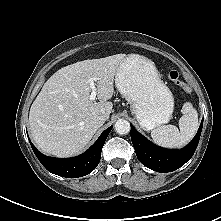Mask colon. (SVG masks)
Wrapping results in <instances>:
<instances>
[{
  "label": "colon",
  "instance_id": "1",
  "mask_svg": "<svg viewBox=\"0 0 221 221\" xmlns=\"http://www.w3.org/2000/svg\"><path fill=\"white\" fill-rule=\"evenodd\" d=\"M168 78L169 80L174 83L175 85H177L179 88H181L183 91L188 92V87L187 85L181 81L180 77H179V73L176 69L174 68H170L168 71Z\"/></svg>",
  "mask_w": 221,
  "mask_h": 221
}]
</instances>
